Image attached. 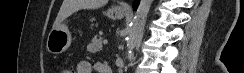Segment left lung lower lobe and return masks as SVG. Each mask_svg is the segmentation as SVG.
<instances>
[{
	"label": "left lung lower lobe",
	"mask_w": 244,
	"mask_h": 73,
	"mask_svg": "<svg viewBox=\"0 0 244 73\" xmlns=\"http://www.w3.org/2000/svg\"><path fill=\"white\" fill-rule=\"evenodd\" d=\"M137 6H138V0H136V1L134 2L133 8L136 10V9H137Z\"/></svg>",
	"instance_id": "0a47b994"
}]
</instances>
